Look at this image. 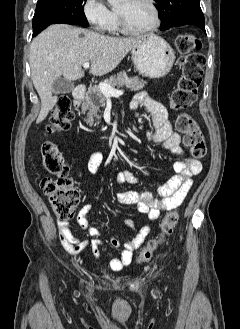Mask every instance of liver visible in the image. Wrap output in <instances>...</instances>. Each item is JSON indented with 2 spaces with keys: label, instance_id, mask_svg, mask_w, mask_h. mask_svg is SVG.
Listing matches in <instances>:
<instances>
[{
  "label": "liver",
  "instance_id": "obj_1",
  "mask_svg": "<svg viewBox=\"0 0 240 329\" xmlns=\"http://www.w3.org/2000/svg\"><path fill=\"white\" fill-rule=\"evenodd\" d=\"M141 40L115 38L97 32L54 24L35 37L30 45L31 78L41 100L37 123L53 109L57 97L52 96L53 82L61 75L69 81L84 76L81 66L91 63L90 74L105 75L114 70Z\"/></svg>",
  "mask_w": 240,
  "mask_h": 329
}]
</instances>
